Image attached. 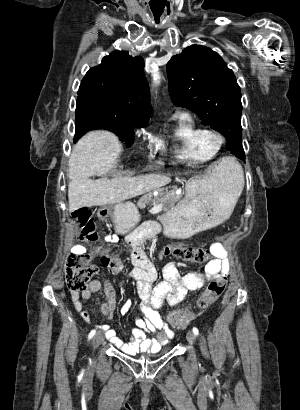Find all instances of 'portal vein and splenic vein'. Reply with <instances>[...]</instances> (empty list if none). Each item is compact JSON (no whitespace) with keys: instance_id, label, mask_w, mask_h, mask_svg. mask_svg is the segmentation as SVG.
I'll return each instance as SVG.
<instances>
[{"instance_id":"18ae733b","label":"portal vein and splenic vein","mask_w":300,"mask_h":410,"mask_svg":"<svg viewBox=\"0 0 300 410\" xmlns=\"http://www.w3.org/2000/svg\"><path fill=\"white\" fill-rule=\"evenodd\" d=\"M162 206H163V204H162V203H159V204L155 205V206L152 208L151 212H158V211H161Z\"/></svg>"}]
</instances>
